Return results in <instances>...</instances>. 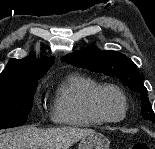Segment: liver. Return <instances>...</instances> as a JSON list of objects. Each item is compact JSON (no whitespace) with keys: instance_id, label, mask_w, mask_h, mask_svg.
I'll list each match as a JSON object with an SVG mask.
<instances>
[{"instance_id":"6515ba94","label":"liver","mask_w":155,"mask_h":149,"mask_svg":"<svg viewBox=\"0 0 155 149\" xmlns=\"http://www.w3.org/2000/svg\"><path fill=\"white\" fill-rule=\"evenodd\" d=\"M94 133L92 129L60 127L38 129L24 127L17 131L0 133V149H69L82 137Z\"/></svg>"}]
</instances>
